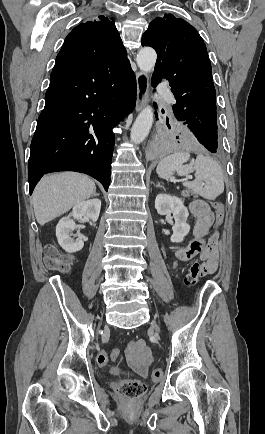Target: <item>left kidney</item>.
Here are the masks:
<instances>
[{
    "instance_id": "obj_1",
    "label": "left kidney",
    "mask_w": 265,
    "mask_h": 434,
    "mask_svg": "<svg viewBox=\"0 0 265 434\" xmlns=\"http://www.w3.org/2000/svg\"><path fill=\"white\" fill-rule=\"evenodd\" d=\"M155 208L160 216L173 214L175 224L172 228L173 234L170 238L171 242H183L185 236L190 232V226L187 224L189 212L185 208L182 200L176 196H168V194H158L155 200Z\"/></svg>"
}]
</instances>
